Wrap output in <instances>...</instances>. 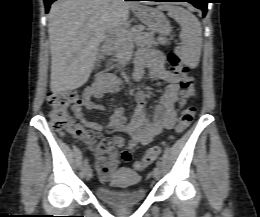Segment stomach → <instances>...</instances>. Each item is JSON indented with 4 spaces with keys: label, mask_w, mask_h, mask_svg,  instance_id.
Listing matches in <instances>:
<instances>
[{
    "label": "stomach",
    "mask_w": 260,
    "mask_h": 217,
    "mask_svg": "<svg viewBox=\"0 0 260 217\" xmlns=\"http://www.w3.org/2000/svg\"><path fill=\"white\" fill-rule=\"evenodd\" d=\"M135 12L139 19L153 32L161 35H168L171 32V26L160 8L139 6Z\"/></svg>",
    "instance_id": "1"
}]
</instances>
